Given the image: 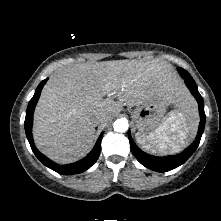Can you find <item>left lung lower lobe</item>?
Segmentation results:
<instances>
[{"instance_id":"left-lung-lower-lobe-1","label":"left lung lower lobe","mask_w":221,"mask_h":221,"mask_svg":"<svg viewBox=\"0 0 221 221\" xmlns=\"http://www.w3.org/2000/svg\"><path fill=\"white\" fill-rule=\"evenodd\" d=\"M178 70L182 75V77L185 79L187 86L189 87L190 91L192 92V94L194 95V97L196 98L199 104V113L201 120L199 124V131L195 141L186 150H184L182 153L178 155L168 156V157H154L140 150L135 145V143L133 142L130 136V133L128 132V138L130 141V147L133 155L142 165L157 172L170 171L182 165L184 162H186L190 158V156L194 153V151L197 149L205 127L206 117L204 112V103L202 96L198 92L197 85L193 80V78L191 77V75L186 70H184L183 68H178Z\"/></svg>"}]
</instances>
